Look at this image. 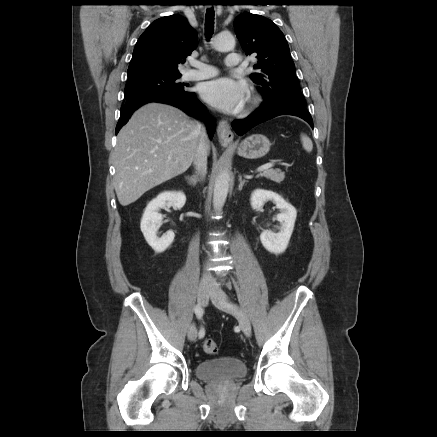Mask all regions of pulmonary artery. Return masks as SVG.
<instances>
[{"label":"pulmonary artery","instance_id":"e3ab8cb5","mask_svg":"<svg viewBox=\"0 0 437 437\" xmlns=\"http://www.w3.org/2000/svg\"><path fill=\"white\" fill-rule=\"evenodd\" d=\"M226 66L230 68L238 67L241 64V57L237 53H229L225 60ZM195 69L189 70L185 74L187 80H203L216 76L217 69L209 64L203 62H193Z\"/></svg>","mask_w":437,"mask_h":437}]
</instances>
